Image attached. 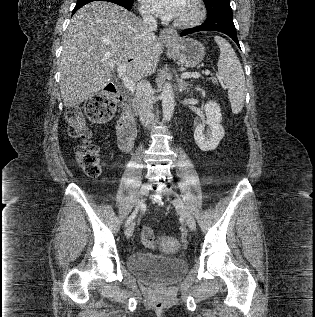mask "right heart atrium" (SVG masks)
I'll list each match as a JSON object with an SVG mask.
<instances>
[{"instance_id":"obj_1","label":"right heart atrium","mask_w":315,"mask_h":317,"mask_svg":"<svg viewBox=\"0 0 315 317\" xmlns=\"http://www.w3.org/2000/svg\"><path fill=\"white\" fill-rule=\"evenodd\" d=\"M140 11H141V13H142L145 17H148V16H149V12H148L146 9L141 8Z\"/></svg>"}]
</instances>
